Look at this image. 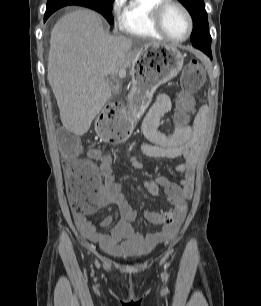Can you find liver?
Listing matches in <instances>:
<instances>
[{"label":"liver","mask_w":261,"mask_h":306,"mask_svg":"<svg viewBox=\"0 0 261 306\" xmlns=\"http://www.w3.org/2000/svg\"><path fill=\"white\" fill-rule=\"evenodd\" d=\"M156 42L138 43L104 31L101 16L79 9L61 17L50 37L47 78L57 100L63 126L84 135L111 97L108 75L133 63Z\"/></svg>","instance_id":"obj_1"}]
</instances>
